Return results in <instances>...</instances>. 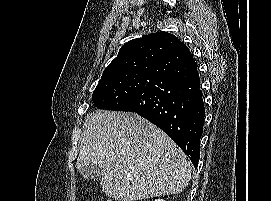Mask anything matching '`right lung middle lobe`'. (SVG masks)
<instances>
[{
	"mask_svg": "<svg viewBox=\"0 0 271 201\" xmlns=\"http://www.w3.org/2000/svg\"><path fill=\"white\" fill-rule=\"evenodd\" d=\"M150 69L120 72L102 77L93 92V103L100 109H121V102L137 93H143L152 80Z\"/></svg>",
	"mask_w": 271,
	"mask_h": 201,
	"instance_id": "dd1d6c3e",
	"label": "right lung middle lobe"
}]
</instances>
